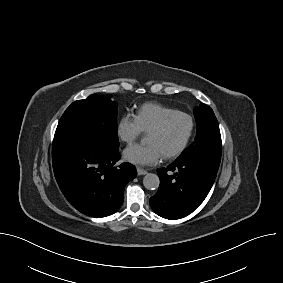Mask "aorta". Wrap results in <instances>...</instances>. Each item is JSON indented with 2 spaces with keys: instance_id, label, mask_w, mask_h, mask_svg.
<instances>
[{
  "instance_id": "aorta-1",
  "label": "aorta",
  "mask_w": 283,
  "mask_h": 283,
  "mask_svg": "<svg viewBox=\"0 0 283 283\" xmlns=\"http://www.w3.org/2000/svg\"><path fill=\"white\" fill-rule=\"evenodd\" d=\"M143 184L146 189H149V190L157 189L160 184L158 175L153 174V173H148L147 175H145L143 179Z\"/></svg>"
}]
</instances>
